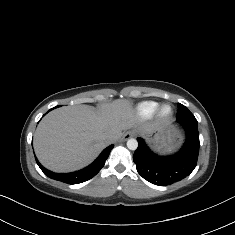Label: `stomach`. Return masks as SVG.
Here are the masks:
<instances>
[{"instance_id":"stomach-1","label":"stomach","mask_w":235,"mask_h":235,"mask_svg":"<svg viewBox=\"0 0 235 235\" xmlns=\"http://www.w3.org/2000/svg\"><path fill=\"white\" fill-rule=\"evenodd\" d=\"M152 148L160 154L176 152L183 143V136L173 125L164 129L157 128L151 133L142 134Z\"/></svg>"}]
</instances>
